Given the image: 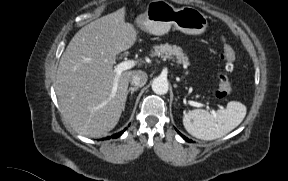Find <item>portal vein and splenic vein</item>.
I'll return each instance as SVG.
<instances>
[{"mask_svg": "<svg viewBox=\"0 0 288 181\" xmlns=\"http://www.w3.org/2000/svg\"><path fill=\"white\" fill-rule=\"evenodd\" d=\"M136 64H137V62L134 60L123 61V62H121L115 66L114 72L116 73L117 76H119L123 71L133 68ZM116 88H117V78L115 79L114 91L116 90ZM189 104L191 106H194V107L205 106L202 103H198V102H194V101H190ZM206 108L210 109L209 106H206ZM212 112H214V110H212Z\"/></svg>", "mask_w": 288, "mask_h": 181, "instance_id": "18ae733b", "label": "portal vein and splenic vein"}]
</instances>
